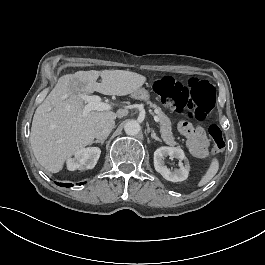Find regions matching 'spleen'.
Returning <instances> with one entry per match:
<instances>
[{"label":"spleen","instance_id":"obj_1","mask_svg":"<svg viewBox=\"0 0 265 265\" xmlns=\"http://www.w3.org/2000/svg\"><path fill=\"white\" fill-rule=\"evenodd\" d=\"M218 169H219V162L216 158H214L210 164L209 169L207 170L206 174L202 177L198 186H203L207 184L216 175Z\"/></svg>","mask_w":265,"mask_h":265}]
</instances>
